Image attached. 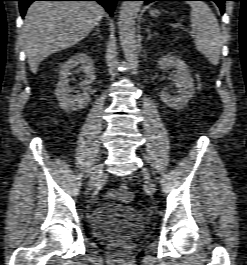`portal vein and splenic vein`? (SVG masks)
Wrapping results in <instances>:
<instances>
[{"label": "portal vein and splenic vein", "instance_id": "1", "mask_svg": "<svg viewBox=\"0 0 247 265\" xmlns=\"http://www.w3.org/2000/svg\"><path fill=\"white\" fill-rule=\"evenodd\" d=\"M174 27L181 28V29H183L184 31H186V29H185V28H182L180 24H176V25H174Z\"/></svg>", "mask_w": 247, "mask_h": 265}]
</instances>
